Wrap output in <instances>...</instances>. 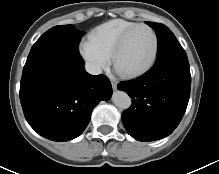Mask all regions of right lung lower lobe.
<instances>
[{
  "label": "right lung lower lobe",
  "instance_id": "1",
  "mask_svg": "<svg viewBox=\"0 0 219 174\" xmlns=\"http://www.w3.org/2000/svg\"><path fill=\"white\" fill-rule=\"evenodd\" d=\"M111 94L110 81L88 74L79 52L58 51L23 68L20 101L25 118L52 141L78 137L94 107Z\"/></svg>",
  "mask_w": 219,
  "mask_h": 174
}]
</instances>
